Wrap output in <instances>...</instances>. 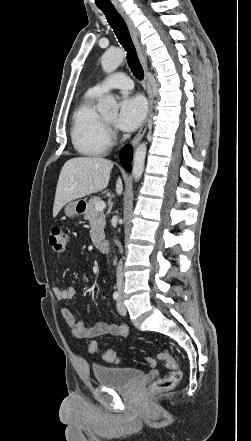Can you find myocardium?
I'll return each mask as SVG.
<instances>
[{"instance_id": "obj_1", "label": "myocardium", "mask_w": 251, "mask_h": 441, "mask_svg": "<svg viewBox=\"0 0 251 441\" xmlns=\"http://www.w3.org/2000/svg\"><path fill=\"white\" fill-rule=\"evenodd\" d=\"M104 123H105L106 126L110 125V122H108L107 120H104Z\"/></svg>"}]
</instances>
